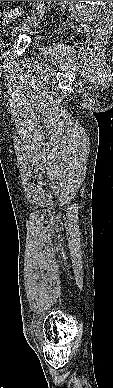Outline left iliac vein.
I'll use <instances>...</instances> for the list:
<instances>
[{"label":"left iliac vein","mask_w":113,"mask_h":388,"mask_svg":"<svg viewBox=\"0 0 113 388\" xmlns=\"http://www.w3.org/2000/svg\"><path fill=\"white\" fill-rule=\"evenodd\" d=\"M46 12V6H43L37 10V13L29 18H26L22 24L16 25L13 27L12 36H16L17 34L32 28L37 25L39 21L44 17Z\"/></svg>","instance_id":"left-iliac-vein-1"}]
</instances>
